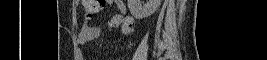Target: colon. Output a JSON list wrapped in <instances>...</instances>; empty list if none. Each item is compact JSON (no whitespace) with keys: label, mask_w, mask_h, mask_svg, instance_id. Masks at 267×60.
<instances>
[{"label":"colon","mask_w":267,"mask_h":60,"mask_svg":"<svg viewBox=\"0 0 267 60\" xmlns=\"http://www.w3.org/2000/svg\"><path fill=\"white\" fill-rule=\"evenodd\" d=\"M84 11H85V18L92 19L93 17L100 14L105 5L104 0H84Z\"/></svg>","instance_id":"obj_1"}]
</instances>
